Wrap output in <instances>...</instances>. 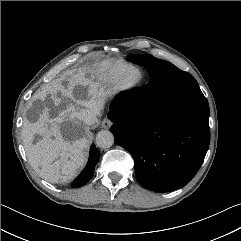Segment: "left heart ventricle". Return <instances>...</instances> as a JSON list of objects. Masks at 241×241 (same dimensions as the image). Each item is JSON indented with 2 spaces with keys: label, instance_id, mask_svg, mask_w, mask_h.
Listing matches in <instances>:
<instances>
[{
  "label": "left heart ventricle",
  "instance_id": "b2bd125f",
  "mask_svg": "<svg viewBox=\"0 0 241 241\" xmlns=\"http://www.w3.org/2000/svg\"><path fill=\"white\" fill-rule=\"evenodd\" d=\"M138 76H139V72L137 69H131L127 74V78L129 80H135L138 78Z\"/></svg>",
  "mask_w": 241,
  "mask_h": 241
}]
</instances>
